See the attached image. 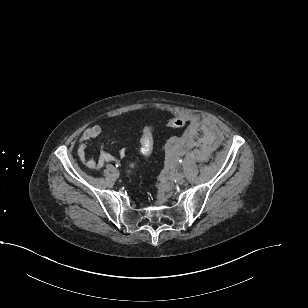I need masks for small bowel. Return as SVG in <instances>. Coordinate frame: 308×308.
<instances>
[{
	"mask_svg": "<svg viewBox=\"0 0 308 308\" xmlns=\"http://www.w3.org/2000/svg\"><path fill=\"white\" fill-rule=\"evenodd\" d=\"M101 132L102 129L99 125H92L85 129L79 138V147L77 150L78 158L81 163L90 170H100L104 164L115 161V158L112 155L105 152L100 153L97 160L87 154L88 145L94 138L98 137ZM120 155L124 156L125 152L121 151Z\"/></svg>",
	"mask_w": 308,
	"mask_h": 308,
	"instance_id": "small-bowel-1",
	"label": "small bowel"
}]
</instances>
